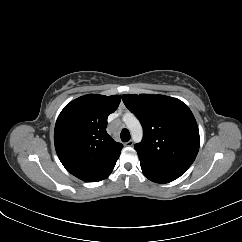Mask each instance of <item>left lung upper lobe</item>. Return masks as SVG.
<instances>
[{
    "mask_svg": "<svg viewBox=\"0 0 242 242\" xmlns=\"http://www.w3.org/2000/svg\"><path fill=\"white\" fill-rule=\"evenodd\" d=\"M122 100L144 129L142 142L135 145L141 164L182 175L200 146L198 126L188 106L164 95L126 94Z\"/></svg>",
    "mask_w": 242,
    "mask_h": 242,
    "instance_id": "obj_1",
    "label": "left lung upper lobe"
}]
</instances>
